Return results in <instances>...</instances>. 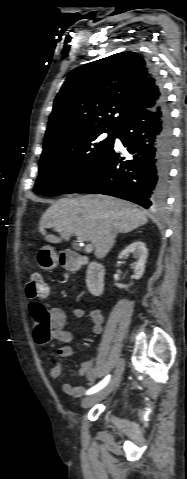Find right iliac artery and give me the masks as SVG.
Wrapping results in <instances>:
<instances>
[{
    "label": "right iliac artery",
    "mask_w": 187,
    "mask_h": 479,
    "mask_svg": "<svg viewBox=\"0 0 187 479\" xmlns=\"http://www.w3.org/2000/svg\"><path fill=\"white\" fill-rule=\"evenodd\" d=\"M110 377H111L110 375H107L101 382H99L97 385L90 388L86 392V394L90 395V394H93V393H96V392L100 391L102 388H104L108 384V382L110 380Z\"/></svg>",
    "instance_id": "obj_1"
}]
</instances>
